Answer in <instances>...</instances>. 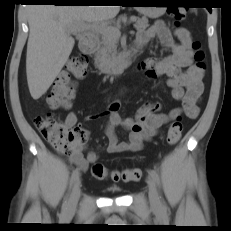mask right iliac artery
<instances>
[{
	"instance_id": "1",
	"label": "right iliac artery",
	"mask_w": 231,
	"mask_h": 231,
	"mask_svg": "<svg viewBox=\"0 0 231 231\" xmlns=\"http://www.w3.org/2000/svg\"><path fill=\"white\" fill-rule=\"evenodd\" d=\"M79 177V170L78 169H75L73 172H72V175H71V179H70V187L75 183V181L78 179ZM67 202H68V197L65 198V201L63 203V209H66L67 208Z\"/></svg>"
}]
</instances>
